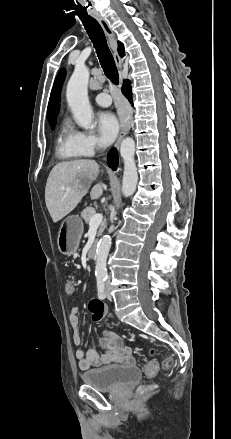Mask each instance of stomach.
<instances>
[{"instance_id":"0dacf381","label":"stomach","mask_w":231,"mask_h":439,"mask_svg":"<svg viewBox=\"0 0 231 439\" xmlns=\"http://www.w3.org/2000/svg\"><path fill=\"white\" fill-rule=\"evenodd\" d=\"M83 233V223L78 216H70L65 219L60 227L57 244L59 251L71 256L76 253Z\"/></svg>"}]
</instances>
